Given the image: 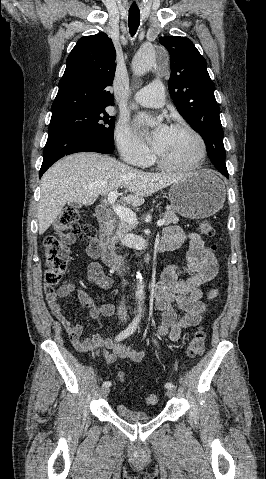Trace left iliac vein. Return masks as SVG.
Here are the masks:
<instances>
[{
  "label": "left iliac vein",
  "mask_w": 266,
  "mask_h": 479,
  "mask_svg": "<svg viewBox=\"0 0 266 479\" xmlns=\"http://www.w3.org/2000/svg\"><path fill=\"white\" fill-rule=\"evenodd\" d=\"M166 395L168 397H173L175 395V389H173V388L168 389L167 392H166Z\"/></svg>",
  "instance_id": "4c4485c4"
}]
</instances>
